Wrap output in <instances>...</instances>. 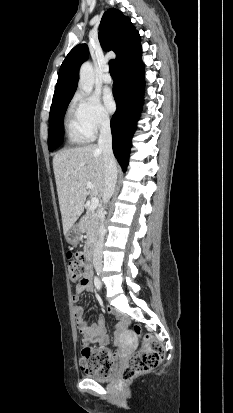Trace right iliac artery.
Returning a JSON list of instances; mask_svg holds the SVG:
<instances>
[{
  "instance_id": "obj_1",
  "label": "right iliac artery",
  "mask_w": 233,
  "mask_h": 413,
  "mask_svg": "<svg viewBox=\"0 0 233 413\" xmlns=\"http://www.w3.org/2000/svg\"><path fill=\"white\" fill-rule=\"evenodd\" d=\"M94 284L98 290L101 289V282L99 281L98 277L94 278Z\"/></svg>"
}]
</instances>
